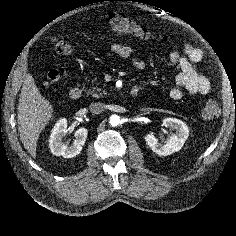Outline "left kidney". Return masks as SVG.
Wrapping results in <instances>:
<instances>
[{
  "label": "left kidney",
  "mask_w": 236,
  "mask_h": 236,
  "mask_svg": "<svg viewBox=\"0 0 236 236\" xmlns=\"http://www.w3.org/2000/svg\"><path fill=\"white\" fill-rule=\"evenodd\" d=\"M163 126L175 130L176 132L169 137L166 144H161L153 133L145 136L147 145L158 155L167 156L178 152L189 136V130L183 121L176 118L163 119Z\"/></svg>",
  "instance_id": "1"
}]
</instances>
